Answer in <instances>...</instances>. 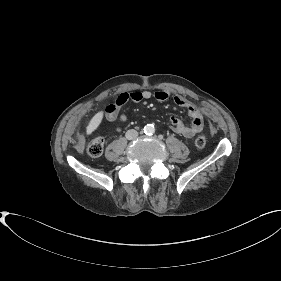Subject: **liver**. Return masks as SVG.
<instances>
[{
	"instance_id": "6515ba94",
	"label": "liver",
	"mask_w": 281,
	"mask_h": 281,
	"mask_svg": "<svg viewBox=\"0 0 281 281\" xmlns=\"http://www.w3.org/2000/svg\"><path fill=\"white\" fill-rule=\"evenodd\" d=\"M103 115H104V112L99 111L92 117V119L90 120V122L88 123V125L86 127L87 135H90L92 132H94L99 127L100 123L102 122Z\"/></svg>"
}]
</instances>
